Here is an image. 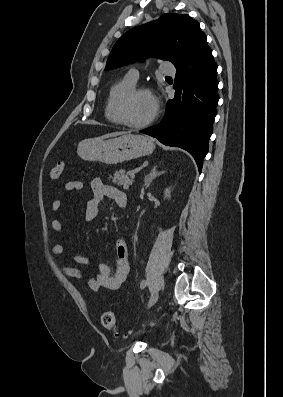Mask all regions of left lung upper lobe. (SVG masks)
<instances>
[{"instance_id":"left-lung-upper-lobe-1","label":"left lung upper lobe","mask_w":283,"mask_h":397,"mask_svg":"<svg viewBox=\"0 0 283 397\" xmlns=\"http://www.w3.org/2000/svg\"><path fill=\"white\" fill-rule=\"evenodd\" d=\"M207 44L200 24L187 14H164L159 19L134 27L115 43L105 70L154 56L175 67ZM176 49H172V47Z\"/></svg>"}]
</instances>
